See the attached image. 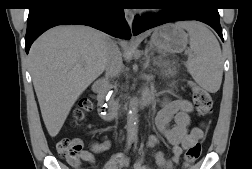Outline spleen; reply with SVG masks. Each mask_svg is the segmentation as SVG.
<instances>
[{
  "mask_svg": "<svg viewBox=\"0 0 252 169\" xmlns=\"http://www.w3.org/2000/svg\"><path fill=\"white\" fill-rule=\"evenodd\" d=\"M187 30L191 55L186 67L195 82L204 90L216 93L221 86L223 58L218 40L203 24L198 22H180Z\"/></svg>",
  "mask_w": 252,
  "mask_h": 169,
  "instance_id": "1",
  "label": "spleen"
}]
</instances>
